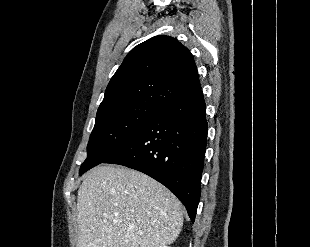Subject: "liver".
I'll return each mask as SVG.
<instances>
[{"instance_id": "6515ba94", "label": "liver", "mask_w": 310, "mask_h": 247, "mask_svg": "<svg viewBox=\"0 0 310 247\" xmlns=\"http://www.w3.org/2000/svg\"><path fill=\"white\" fill-rule=\"evenodd\" d=\"M77 222V247L166 246L181 231L182 204L142 172L102 165L79 187Z\"/></svg>"}]
</instances>
